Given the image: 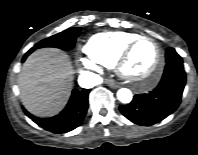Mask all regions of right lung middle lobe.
I'll use <instances>...</instances> for the list:
<instances>
[{"label": "right lung middle lobe", "mask_w": 198, "mask_h": 155, "mask_svg": "<svg viewBox=\"0 0 198 155\" xmlns=\"http://www.w3.org/2000/svg\"><path fill=\"white\" fill-rule=\"evenodd\" d=\"M80 30V27L69 28L63 32L46 38L32 47L28 53L30 54L35 49L42 47H57L63 50H71L74 47L76 38L80 34Z\"/></svg>", "instance_id": "dd1d6c3e"}]
</instances>
